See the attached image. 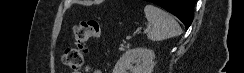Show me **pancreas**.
I'll return each mask as SVG.
<instances>
[{
  "instance_id": "pancreas-1",
  "label": "pancreas",
  "mask_w": 244,
  "mask_h": 73,
  "mask_svg": "<svg viewBox=\"0 0 244 73\" xmlns=\"http://www.w3.org/2000/svg\"><path fill=\"white\" fill-rule=\"evenodd\" d=\"M129 44H127V46H124L123 44H121L120 46H119V51H124L125 50V48H129Z\"/></svg>"
}]
</instances>
